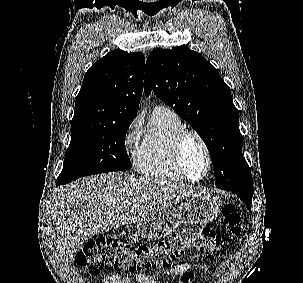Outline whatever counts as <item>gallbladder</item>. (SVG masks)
Here are the masks:
<instances>
[{"label":"gallbladder","instance_id":"1","mask_svg":"<svg viewBox=\"0 0 303 283\" xmlns=\"http://www.w3.org/2000/svg\"><path fill=\"white\" fill-rule=\"evenodd\" d=\"M84 244V241H82L81 243H79L76 247L75 250L80 249Z\"/></svg>","mask_w":303,"mask_h":283}]
</instances>
